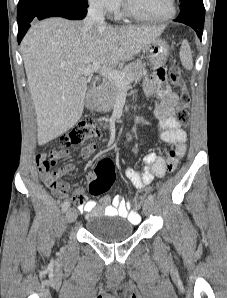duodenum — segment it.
Masks as SVG:
<instances>
[{
    "label": "duodenum",
    "mask_w": 227,
    "mask_h": 298,
    "mask_svg": "<svg viewBox=\"0 0 227 298\" xmlns=\"http://www.w3.org/2000/svg\"><path fill=\"white\" fill-rule=\"evenodd\" d=\"M99 102V92L97 89H92L89 91L86 98V105L90 109H94Z\"/></svg>",
    "instance_id": "1"
}]
</instances>
